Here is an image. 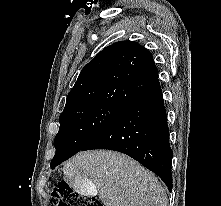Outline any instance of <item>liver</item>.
<instances>
[{"instance_id": "obj_1", "label": "liver", "mask_w": 221, "mask_h": 206, "mask_svg": "<svg viewBox=\"0 0 221 206\" xmlns=\"http://www.w3.org/2000/svg\"><path fill=\"white\" fill-rule=\"evenodd\" d=\"M65 180L89 183L105 206H167L161 183L130 157L107 150L80 152L63 166Z\"/></svg>"}]
</instances>
